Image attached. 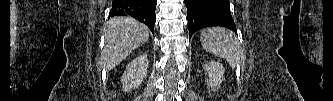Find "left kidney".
Listing matches in <instances>:
<instances>
[{"label":"left kidney","mask_w":333,"mask_h":101,"mask_svg":"<svg viewBox=\"0 0 333 101\" xmlns=\"http://www.w3.org/2000/svg\"><path fill=\"white\" fill-rule=\"evenodd\" d=\"M204 68L209 77V79L206 80L207 86L211 88V90L216 91L223 81V75L225 72L223 65L216 61H210L204 65Z\"/></svg>","instance_id":"left-kidney-1"}]
</instances>
